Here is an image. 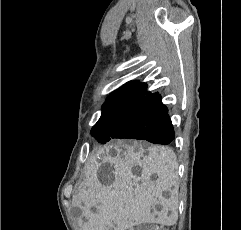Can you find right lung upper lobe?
I'll list each match as a JSON object with an SVG mask.
<instances>
[{"label": "right lung upper lobe", "instance_id": "obj_1", "mask_svg": "<svg viewBox=\"0 0 241 230\" xmlns=\"http://www.w3.org/2000/svg\"><path fill=\"white\" fill-rule=\"evenodd\" d=\"M147 84L130 81L114 91L103 105L102 115L119 111L122 113H133L147 105L158 93L146 91ZM101 115V116H102Z\"/></svg>", "mask_w": 241, "mask_h": 230}]
</instances>
